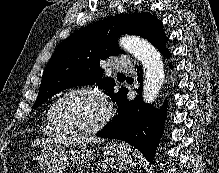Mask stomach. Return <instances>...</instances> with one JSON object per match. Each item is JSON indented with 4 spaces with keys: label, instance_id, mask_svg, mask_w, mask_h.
Masks as SVG:
<instances>
[{
    "label": "stomach",
    "instance_id": "1",
    "mask_svg": "<svg viewBox=\"0 0 219 173\" xmlns=\"http://www.w3.org/2000/svg\"><path fill=\"white\" fill-rule=\"evenodd\" d=\"M105 163L118 171L134 168L138 164L137 154L122 143L104 147ZM95 160L91 149H69L63 144L51 143L44 146L37 161L42 173H65L69 164L85 165Z\"/></svg>",
    "mask_w": 219,
    "mask_h": 173
}]
</instances>
